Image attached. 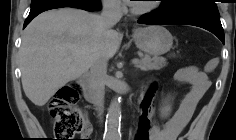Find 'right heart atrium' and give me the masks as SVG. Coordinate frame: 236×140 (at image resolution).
Listing matches in <instances>:
<instances>
[{
	"instance_id": "obj_1",
	"label": "right heart atrium",
	"mask_w": 236,
	"mask_h": 140,
	"mask_svg": "<svg viewBox=\"0 0 236 140\" xmlns=\"http://www.w3.org/2000/svg\"><path fill=\"white\" fill-rule=\"evenodd\" d=\"M104 7L112 13H120L123 11V7L118 0H104Z\"/></svg>"
}]
</instances>
